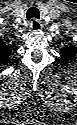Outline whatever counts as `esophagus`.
<instances>
[{"instance_id": "esophagus-1", "label": "esophagus", "mask_w": 77, "mask_h": 125, "mask_svg": "<svg viewBox=\"0 0 77 125\" xmlns=\"http://www.w3.org/2000/svg\"><path fill=\"white\" fill-rule=\"evenodd\" d=\"M30 27L33 31H38L41 29L42 25L41 22L38 19L33 18L30 21Z\"/></svg>"}]
</instances>
